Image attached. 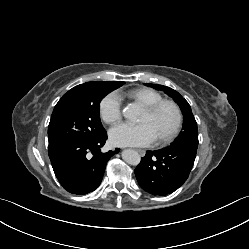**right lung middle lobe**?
Instances as JSON below:
<instances>
[{
	"label": "right lung middle lobe",
	"instance_id": "obj_1",
	"mask_svg": "<svg viewBox=\"0 0 249 249\" xmlns=\"http://www.w3.org/2000/svg\"><path fill=\"white\" fill-rule=\"evenodd\" d=\"M114 89L98 84L79 87L72 95L57 103L48 127V150L76 141H89L105 133L99 104Z\"/></svg>",
	"mask_w": 249,
	"mask_h": 249
}]
</instances>
